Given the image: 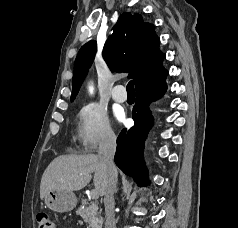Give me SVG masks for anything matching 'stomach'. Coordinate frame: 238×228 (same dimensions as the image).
<instances>
[{"label":"stomach","instance_id":"stomach-1","mask_svg":"<svg viewBox=\"0 0 238 228\" xmlns=\"http://www.w3.org/2000/svg\"><path fill=\"white\" fill-rule=\"evenodd\" d=\"M45 204L53 211L64 213L71 211L77 204L73 191L52 190L44 197Z\"/></svg>","mask_w":238,"mask_h":228}]
</instances>
